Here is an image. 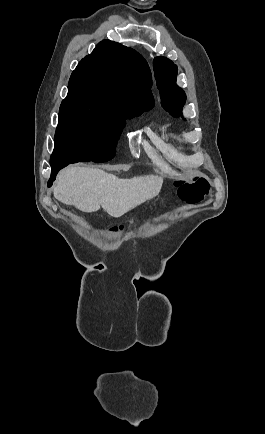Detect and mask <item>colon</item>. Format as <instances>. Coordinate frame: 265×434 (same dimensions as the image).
Masks as SVG:
<instances>
[{
  "label": "colon",
  "mask_w": 265,
  "mask_h": 434,
  "mask_svg": "<svg viewBox=\"0 0 265 434\" xmlns=\"http://www.w3.org/2000/svg\"><path fill=\"white\" fill-rule=\"evenodd\" d=\"M175 186L177 193H185V202H208V193H202V189H205L206 187V182L201 173L193 176L191 180H176ZM165 206L169 207V204H166ZM134 225H136V222L134 221L129 223V226ZM125 229L126 226L124 225L115 226L110 229V233L117 234L123 232Z\"/></svg>",
  "instance_id": "1"
}]
</instances>
